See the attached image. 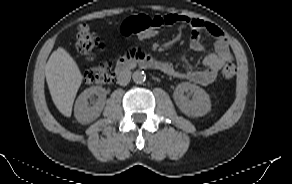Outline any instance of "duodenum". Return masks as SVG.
I'll return each mask as SVG.
<instances>
[{
  "mask_svg": "<svg viewBox=\"0 0 292 184\" xmlns=\"http://www.w3.org/2000/svg\"><path fill=\"white\" fill-rule=\"evenodd\" d=\"M134 66L167 72V66L165 62H162L140 51H131L120 57L115 65V72L120 79H123L127 71Z\"/></svg>",
  "mask_w": 292,
  "mask_h": 184,
  "instance_id": "410a0bca",
  "label": "duodenum"
}]
</instances>
